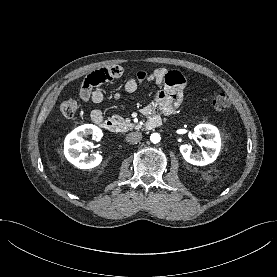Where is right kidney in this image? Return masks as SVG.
<instances>
[{
	"mask_svg": "<svg viewBox=\"0 0 277 277\" xmlns=\"http://www.w3.org/2000/svg\"><path fill=\"white\" fill-rule=\"evenodd\" d=\"M89 135L99 141L103 133L97 126L85 124L69 133L64 141V154L66 159L80 169H92L98 166L102 161V156L100 154L88 156L86 153H81L83 149L87 148V146L82 143V138Z\"/></svg>",
	"mask_w": 277,
	"mask_h": 277,
	"instance_id": "obj_1",
	"label": "right kidney"
}]
</instances>
